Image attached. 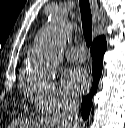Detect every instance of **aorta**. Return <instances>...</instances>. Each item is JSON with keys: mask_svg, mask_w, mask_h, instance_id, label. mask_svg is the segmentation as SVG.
Wrapping results in <instances>:
<instances>
[{"mask_svg": "<svg viewBox=\"0 0 125 128\" xmlns=\"http://www.w3.org/2000/svg\"><path fill=\"white\" fill-rule=\"evenodd\" d=\"M70 34L71 25L62 17L52 18L38 32L28 58L38 75L51 77L55 74L59 56Z\"/></svg>", "mask_w": 125, "mask_h": 128, "instance_id": "762f6f07", "label": "aorta"}]
</instances>
